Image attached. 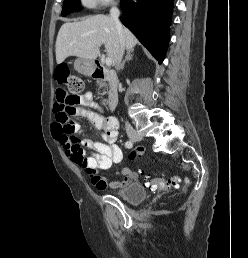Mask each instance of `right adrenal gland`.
Listing matches in <instances>:
<instances>
[{
  "label": "right adrenal gland",
  "mask_w": 248,
  "mask_h": 258,
  "mask_svg": "<svg viewBox=\"0 0 248 258\" xmlns=\"http://www.w3.org/2000/svg\"><path fill=\"white\" fill-rule=\"evenodd\" d=\"M132 59H133V53L131 51H128L124 61L122 62L121 66H120V71H122L124 69L126 61H129Z\"/></svg>",
  "instance_id": "obj_1"
}]
</instances>
